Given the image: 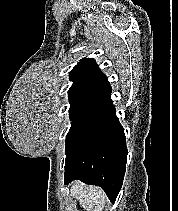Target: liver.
Wrapping results in <instances>:
<instances>
[{
  "label": "liver",
  "mask_w": 178,
  "mask_h": 211,
  "mask_svg": "<svg viewBox=\"0 0 178 211\" xmlns=\"http://www.w3.org/2000/svg\"><path fill=\"white\" fill-rule=\"evenodd\" d=\"M70 191L85 211H103L107 196L101 188L76 181Z\"/></svg>",
  "instance_id": "obj_1"
}]
</instances>
